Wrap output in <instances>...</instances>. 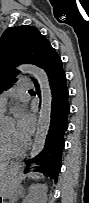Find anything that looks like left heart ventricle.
<instances>
[{"mask_svg": "<svg viewBox=\"0 0 89 203\" xmlns=\"http://www.w3.org/2000/svg\"><path fill=\"white\" fill-rule=\"evenodd\" d=\"M3 135L7 142L8 148L12 151H17L23 148L26 144V141L20 138L16 133V128L13 122L4 126Z\"/></svg>", "mask_w": 89, "mask_h": 203, "instance_id": "obj_1", "label": "left heart ventricle"}]
</instances>
